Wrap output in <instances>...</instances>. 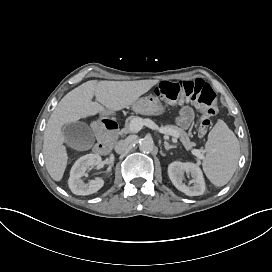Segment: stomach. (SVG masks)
<instances>
[{
    "instance_id": "obj_1",
    "label": "stomach",
    "mask_w": 272,
    "mask_h": 272,
    "mask_svg": "<svg viewBox=\"0 0 272 272\" xmlns=\"http://www.w3.org/2000/svg\"><path fill=\"white\" fill-rule=\"evenodd\" d=\"M133 109L137 113L147 116H159L167 112L166 107L161 100L154 96H146L138 99L133 104Z\"/></svg>"
}]
</instances>
